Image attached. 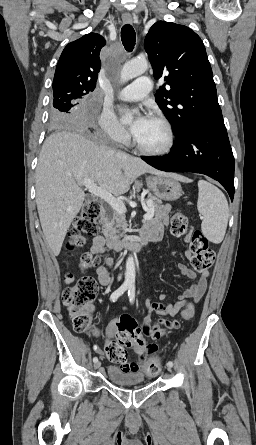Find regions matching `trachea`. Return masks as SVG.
<instances>
[{
	"label": "trachea",
	"instance_id": "obj_1",
	"mask_svg": "<svg viewBox=\"0 0 256 445\" xmlns=\"http://www.w3.org/2000/svg\"><path fill=\"white\" fill-rule=\"evenodd\" d=\"M121 40L126 51L131 52L134 49L136 33L130 24H126L122 27Z\"/></svg>",
	"mask_w": 256,
	"mask_h": 445
}]
</instances>
